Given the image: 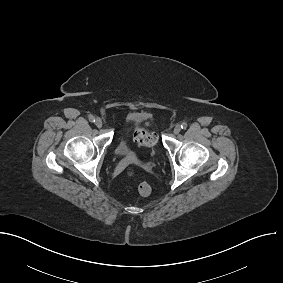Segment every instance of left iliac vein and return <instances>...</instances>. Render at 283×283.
I'll use <instances>...</instances> for the list:
<instances>
[{
    "label": "left iliac vein",
    "mask_w": 283,
    "mask_h": 283,
    "mask_svg": "<svg viewBox=\"0 0 283 283\" xmlns=\"http://www.w3.org/2000/svg\"><path fill=\"white\" fill-rule=\"evenodd\" d=\"M181 131V127L179 125H176L174 128V133L178 134Z\"/></svg>",
    "instance_id": "4c4485c4"
}]
</instances>
